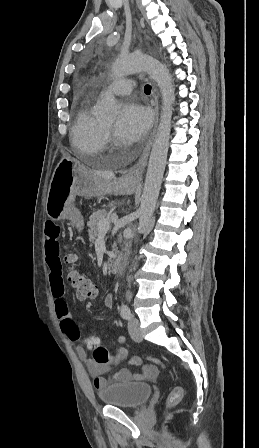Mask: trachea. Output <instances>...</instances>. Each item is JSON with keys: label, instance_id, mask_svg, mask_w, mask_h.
I'll return each instance as SVG.
<instances>
[{"label": "trachea", "instance_id": "trachea-1", "mask_svg": "<svg viewBox=\"0 0 259 448\" xmlns=\"http://www.w3.org/2000/svg\"><path fill=\"white\" fill-rule=\"evenodd\" d=\"M151 89H152V87H151L150 85H145V87H144V92H145L146 94H149V93H151Z\"/></svg>", "mask_w": 259, "mask_h": 448}]
</instances>
